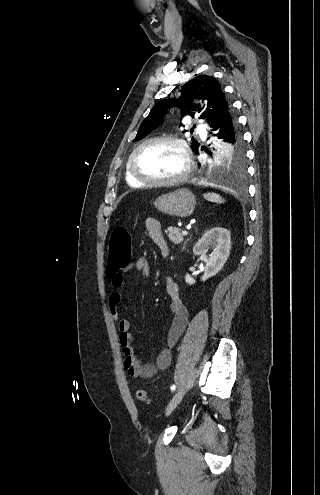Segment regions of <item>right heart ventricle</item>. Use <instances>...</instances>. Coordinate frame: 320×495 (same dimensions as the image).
<instances>
[{
    "label": "right heart ventricle",
    "mask_w": 320,
    "mask_h": 495,
    "mask_svg": "<svg viewBox=\"0 0 320 495\" xmlns=\"http://www.w3.org/2000/svg\"><path fill=\"white\" fill-rule=\"evenodd\" d=\"M125 179L126 182L128 183L129 186L131 187H143L144 185L136 181L132 175L130 174L129 167H128V161L125 166Z\"/></svg>",
    "instance_id": "e07e8e85"
}]
</instances>
